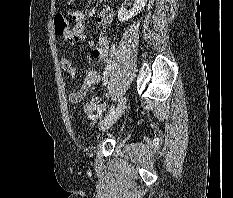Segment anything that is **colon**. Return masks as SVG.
<instances>
[{
  "label": "colon",
  "instance_id": "obj_1",
  "mask_svg": "<svg viewBox=\"0 0 233 198\" xmlns=\"http://www.w3.org/2000/svg\"><path fill=\"white\" fill-rule=\"evenodd\" d=\"M54 27L57 35H63L68 29L67 21L62 14H56L54 16ZM103 109H104V103L102 99L98 97L92 98L84 106L85 112L90 115L99 114L103 111Z\"/></svg>",
  "mask_w": 233,
  "mask_h": 198
}]
</instances>
